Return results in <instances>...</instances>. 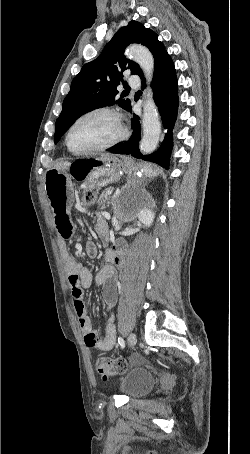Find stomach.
Wrapping results in <instances>:
<instances>
[{"mask_svg":"<svg viewBox=\"0 0 250 454\" xmlns=\"http://www.w3.org/2000/svg\"><path fill=\"white\" fill-rule=\"evenodd\" d=\"M125 167V162L120 158L103 155L77 160L70 164L67 168L68 172H66V167L57 166L48 170L45 176H76V179L82 181L86 188L95 189L116 181Z\"/></svg>","mask_w":250,"mask_h":454,"instance_id":"stomach-1","label":"stomach"}]
</instances>
